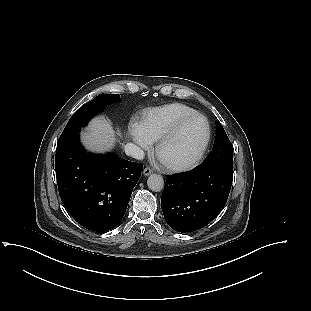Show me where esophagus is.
<instances>
[{
    "instance_id": "1",
    "label": "esophagus",
    "mask_w": 311,
    "mask_h": 311,
    "mask_svg": "<svg viewBox=\"0 0 311 311\" xmlns=\"http://www.w3.org/2000/svg\"><path fill=\"white\" fill-rule=\"evenodd\" d=\"M153 172V169L150 167H146L143 171L144 176H148Z\"/></svg>"
}]
</instances>
